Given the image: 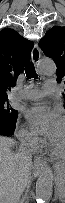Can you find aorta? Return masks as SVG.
I'll return each instance as SVG.
<instances>
[{"instance_id": "aorta-1", "label": "aorta", "mask_w": 65, "mask_h": 203, "mask_svg": "<svg viewBox=\"0 0 65 203\" xmlns=\"http://www.w3.org/2000/svg\"><path fill=\"white\" fill-rule=\"evenodd\" d=\"M38 72L40 75L51 76L56 73V65L52 59L44 58L39 61ZM54 176L51 168L45 166L36 181V202L49 203L52 195Z\"/></svg>"}]
</instances>
